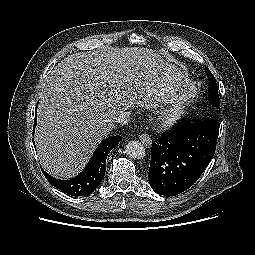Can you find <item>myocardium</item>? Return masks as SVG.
<instances>
[{
  "label": "myocardium",
  "instance_id": "myocardium-1",
  "mask_svg": "<svg viewBox=\"0 0 255 255\" xmlns=\"http://www.w3.org/2000/svg\"><path fill=\"white\" fill-rule=\"evenodd\" d=\"M185 115V109L182 106H173L167 109L162 117L161 122L165 127H171L177 124Z\"/></svg>",
  "mask_w": 255,
  "mask_h": 255
}]
</instances>
